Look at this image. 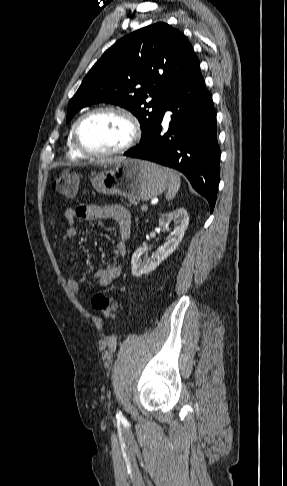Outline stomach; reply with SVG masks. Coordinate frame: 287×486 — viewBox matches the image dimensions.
Wrapping results in <instances>:
<instances>
[{"instance_id":"1","label":"stomach","mask_w":287,"mask_h":486,"mask_svg":"<svg viewBox=\"0 0 287 486\" xmlns=\"http://www.w3.org/2000/svg\"><path fill=\"white\" fill-rule=\"evenodd\" d=\"M91 182L101 194L147 201L166 189L168 176L165 168L155 163L128 158L111 163Z\"/></svg>"}]
</instances>
